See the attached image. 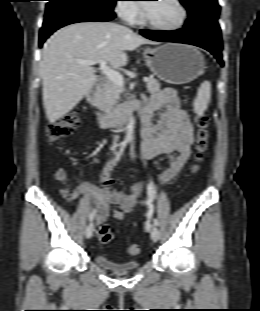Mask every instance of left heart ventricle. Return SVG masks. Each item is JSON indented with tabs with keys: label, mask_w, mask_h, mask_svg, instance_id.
Wrapping results in <instances>:
<instances>
[{
	"label": "left heart ventricle",
	"mask_w": 260,
	"mask_h": 311,
	"mask_svg": "<svg viewBox=\"0 0 260 311\" xmlns=\"http://www.w3.org/2000/svg\"><path fill=\"white\" fill-rule=\"evenodd\" d=\"M145 9L148 19L157 25H173L180 18V11L172 0H158L155 3H148Z\"/></svg>",
	"instance_id": "left-heart-ventricle-1"
}]
</instances>
